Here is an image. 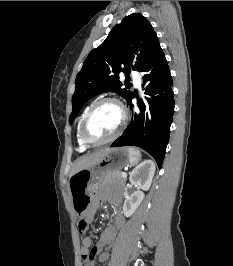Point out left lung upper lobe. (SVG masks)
<instances>
[{"label":"left lung upper lobe","mask_w":233,"mask_h":266,"mask_svg":"<svg viewBox=\"0 0 233 266\" xmlns=\"http://www.w3.org/2000/svg\"><path fill=\"white\" fill-rule=\"evenodd\" d=\"M158 44L153 27L139 13L126 16L115 25L106 40L89 53L77 74L70 124L82 106L100 93L116 92L128 101L133 94L129 90L131 84L119 81V73L129 77L131 67L139 71Z\"/></svg>","instance_id":"1"}]
</instances>
